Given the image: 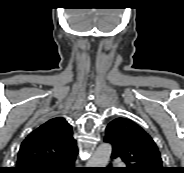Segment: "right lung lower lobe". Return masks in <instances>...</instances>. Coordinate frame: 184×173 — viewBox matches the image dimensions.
<instances>
[{
    "label": "right lung lower lobe",
    "instance_id": "right-lung-lower-lobe-1",
    "mask_svg": "<svg viewBox=\"0 0 184 173\" xmlns=\"http://www.w3.org/2000/svg\"><path fill=\"white\" fill-rule=\"evenodd\" d=\"M76 155L77 154L47 168L29 171L26 173H81V170L74 166Z\"/></svg>",
    "mask_w": 184,
    "mask_h": 173
}]
</instances>
